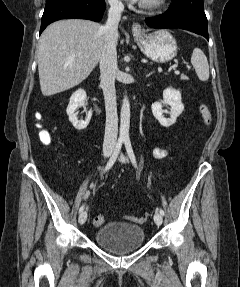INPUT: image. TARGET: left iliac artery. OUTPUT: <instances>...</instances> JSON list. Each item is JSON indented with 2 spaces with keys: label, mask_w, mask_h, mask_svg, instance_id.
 Segmentation results:
<instances>
[{
  "label": "left iliac artery",
  "mask_w": 240,
  "mask_h": 287,
  "mask_svg": "<svg viewBox=\"0 0 240 287\" xmlns=\"http://www.w3.org/2000/svg\"><path fill=\"white\" fill-rule=\"evenodd\" d=\"M124 143H125V147H126L127 154H128V156H129V158H130L132 164L134 165L135 168H137L136 158H135V155H134V152H133V149H132L130 140H129V139H126V140L124 141ZM159 212H160V214H161L162 216L165 215L163 209L160 208V209H159Z\"/></svg>",
  "instance_id": "left-iliac-artery-1"
}]
</instances>
